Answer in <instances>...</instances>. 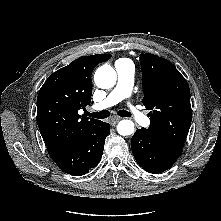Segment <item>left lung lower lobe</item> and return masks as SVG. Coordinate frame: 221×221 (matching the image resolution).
Here are the masks:
<instances>
[{
  "label": "left lung lower lobe",
  "mask_w": 221,
  "mask_h": 221,
  "mask_svg": "<svg viewBox=\"0 0 221 221\" xmlns=\"http://www.w3.org/2000/svg\"><path fill=\"white\" fill-rule=\"evenodd\" d=\"M132 152L137 163L150 173L169 169L182 153V149L163 144L145 128L137 129L132 137Z\"/></svg>",
  "instance_id": "left-lung-lower-lobe-1"
}]
</instances>
